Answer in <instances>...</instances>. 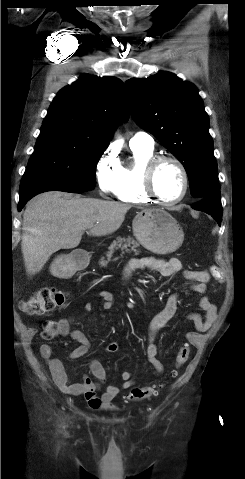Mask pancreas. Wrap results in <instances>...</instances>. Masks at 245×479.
Here are the masks:
<instances>
[{"instance_id": "1", "label": "pancreas", "mask_w": 245, "mask_h": 479, "mask_svg": "<svg viewBox=\"0 0 245 479\" xmlns=\"http://www.w3.org/2000/svg\"><path fill=\"white\" fill-rule=\"evenodd\" d=\"M137 247H139V244L136 240H134L131 237L127 238H121L118 237L116 240H114L111 245L108 248V251L105 253L107 260H105V257H102L99 264L101 266H106L108 262L111 260L115 250L117 249H122L126 251H134L136 254H138ZM130 248V249H129Z\"/></svg>"}]
</instances>
